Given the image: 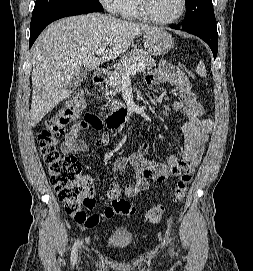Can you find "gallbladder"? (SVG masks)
I'll return each instance as SVG.
<instances>
[{
    "instance_id": "1",
    "label": "gallbladder",
    "mask_w": 253,
    "mask_h": 271,
    "mask_svg": "<svg viewBox=\"0 0 253 271\" xmlns=\"http://www.w3.org/2000/svg\"><path fill=\"white\" fill-rule=\"evenodd\" d=\"M86 78H87V73L83 70L79 71L73 76L69 84V87L72 89H76Z\"/></svg>"
}]
</instances>
